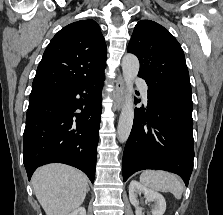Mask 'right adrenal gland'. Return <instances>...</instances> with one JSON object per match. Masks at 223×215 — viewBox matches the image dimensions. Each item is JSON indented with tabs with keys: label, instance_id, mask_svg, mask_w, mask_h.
I'll list each match as a JSON object with an SVG mask.
<instances>
[{
	"label": "right adrenal gland",
	"instance_id": "right-adrenal-gland-1",
	"mask_svg": "<svg viewBox=\"0 0 223 215\" xmlns=\"http://www.w3.org/2000/svg\"><path fill=\"white\" fill-rule=\"evenodd\" d=\"M90 187H87V191H89Z\"/></svg>",
	"mask_w": 223,
	"mask_h": 215
}]
</instances>
